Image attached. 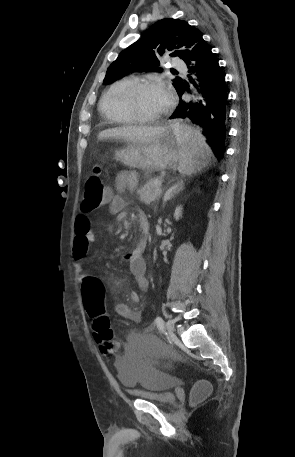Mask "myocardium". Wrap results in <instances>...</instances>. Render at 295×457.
Wrapping results in <instances>:
<instances>
[{"label": "myocardium", "instance_id": "1", "mask_svg": "<svg viewBox=\"0 0 295 457\" xmlns=\"http://www.w3.org/2000/svg\"><path fill=\"white\" fill-rule=\"evenodd\" d=\"M157 82L153 80H139L131 85H129L124 92L122 93L121 100L123 103L124 108L130 114L132 118H134L137 122L143 123H154L162 118H164L168 112L169 108H166L162 113L156 116H147L140 112L137 105V97L138 94L147 88L156 86Z\"/></svg>", "mask_w": 295, "mask_h": 457}]
</instances>
